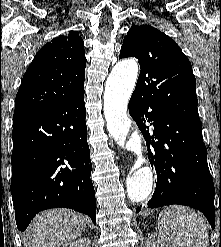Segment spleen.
Segmentation results:
<instances>
[{
	"label": "spleen",
	"mask_w": 221,
	"mask_h": 247,
	"mask_svg": "<svg viewBox=\"0 0 221 247\" xmlns=\"http://www.w3.org/2000/svg\"><path fill=\"white\" fill-rule=\"evenodd\" d=\"M158 229L167 241L181 247H208L206 221L185 206L164 208L158 217Z\"/></svg>",
	"instance_id": "obj_1"
}]
</instances>
